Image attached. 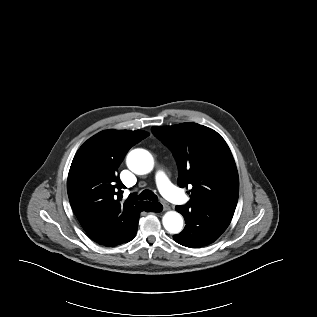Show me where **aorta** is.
<instances>
[{
    "label": "aorta",
    "mask_w": 317,
    "mask_h": 317,
    "mask_svg": "<svg viewBox=\"0 0 317 317\" xmlns=\"http://www.w3.org/2000/svg\"><path fill=\"white\" fill-rule=\"evenodd\" d=\"M126 163L132 172L144 175L153 170L154 158L149 151L137 148L128 153ZM162 224L169 233L177 234L183 229V218L176 211H168L162 218Z\"/></svg>",
    "instance_id": "obj_1"
}]
</instances>
